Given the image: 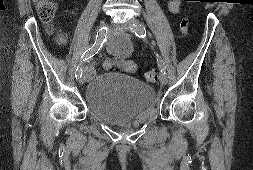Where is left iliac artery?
<instances>
[{"mask_svg":"<svg viewBox=\"0 0 253 170\" xmlns=\"http://www.w3.org/2000/svg\"><path fill=\"white\" fill-rule=\"evenodd\" d=\"M132 32L135 33V35L140 38L146 37V28L143 24L134 25L132 27ZM156 56H157V63H158L159 69L161 70V72L165 73L166 67H165L164 61L162 60V58L159 55L156 54Z\"/></svg>","mask_w":253,"mask_h":170,"instance_id":"44dca946","label":"left iliac artery"}]
</instances>
